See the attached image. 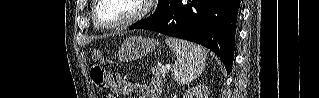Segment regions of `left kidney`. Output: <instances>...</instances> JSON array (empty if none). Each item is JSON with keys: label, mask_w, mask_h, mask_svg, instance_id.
<instances>
[{"label": "left kidney", "mask_w": 319, "mask_h": 98, "mask_svg": "<svg viewBox=\"0 0 319 98\" xmlns=\"http://www.w3.org/2000/svg\"><path fill=\"white\" fill-rule=\"evenodd\" d=\"M208 95V87L204 85H198L188 89L183 98H208Z\"/></svg>", "instance_id": "5707ae66"}]
</instances>
